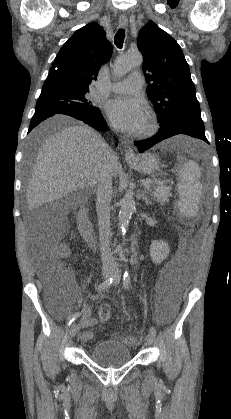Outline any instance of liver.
Masks as SVG:
<instances>
[{"label": "liver", "mask_w": 231, "mask_h": 419, "mask_svg": "<svg viewBox=\"0 0 231 419\" xmlns=\"http://www.w3.org/2000/svg\"><path fill=\"white\" fill-rule=\"evenodd\" d=\"M54 117L44 124L51 127L62 122ZM106 142L91 128L72 125L51 134L38 151L27 188L30 210L68 194L94 188L104 166L112 177L120 168L118 157L107 159Z\"/></svg>", "instance_id": "1"}]
</instances>
